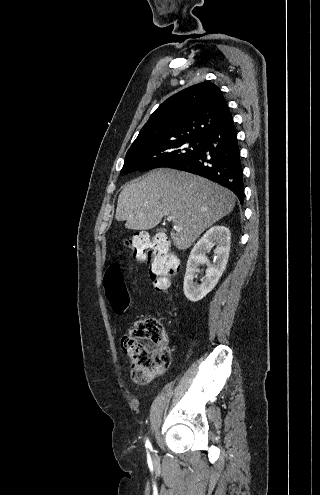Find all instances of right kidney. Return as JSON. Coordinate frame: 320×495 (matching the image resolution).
Returning a JSON list of instances; mask_svg holds the SVG:
<instances>
[{"label": "right kidney", "mask_w": 320, "mask_h": 495, "mask_svg": "<svg viewBox=\"0 0 320 495\" xmlns=\"http://www.w3.org/2000/svg\"><path fill=\"white\" fill-rule=\"evenodd\" d=\"M230 231L224 226H214L198 240L190 252L187 261L183 290L187 299L197 302L204 298L218 283L229 258ZM215 246V261L210 263L206 254ZM207 263L205 276L201 284L194 282L198 266Z\"/></svg>", "instance_id": "right-kidney-1"}]
</instances>
